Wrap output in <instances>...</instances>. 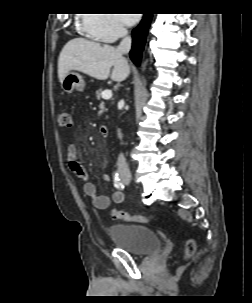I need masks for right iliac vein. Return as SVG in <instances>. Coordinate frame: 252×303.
<instances>
[{"label": "right iliac vein", "instance_id": "right-iliac-vein-1", "mask_svg": "<svg viewBox=\"0 0 252 303\" xmlns=\"http://www.w3.org/2000/svg\"><path fill=\"white\" fill-rule=\"evenodd\" d=\"M122 178L128 182L132 180V176L130 174H122Z\"/></svg>", "mask_w": 252, "mask_h": 303}]
</instances>
